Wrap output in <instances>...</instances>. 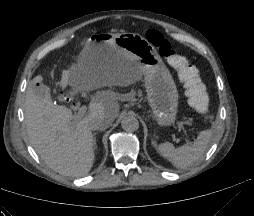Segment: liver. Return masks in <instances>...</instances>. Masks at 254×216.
<instances>
[{"label":"liver","instance_id":"1","mask_svg":"<svg viewBox=\"0 0 254 216\" xmlns=\"http://www.w3.org/2000/svg\"><path fill=\"white\" fill-rule=\"evenodd\" d=\"M85 49L86 46L78 62L82 61ZM78 62L62 71L61 80L56 83L62 89L68 85L86 91L123 87L143 76L122 52H117L105 65L89 66ZM41 80V75L36 76L26 93L25 124L30 143L46 165L57 173L73 177L87 175L95 159L89 122L95 116H104L112 123L119 116L118 101L122 96L110 90L99 91L92 97L85 117L78 119L67 107L54 104L50 97L34 90V84Z\"/></svg>","mask_w":254,"mask_h":216}]
</instances>
